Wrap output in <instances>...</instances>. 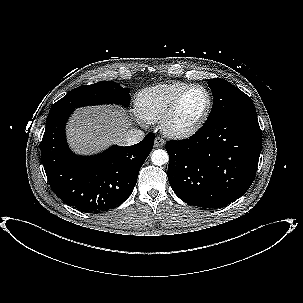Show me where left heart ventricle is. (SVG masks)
<instances>
[{"mask_svg": "<svg viewBox=\"0 0 303 303\" xmlns=\"http://www.w3.org/2000/svg\"><path fill=\"white\" fill-rule=\"evenodd\" d=\"M207 103L206 94L200 88L191 90L185 97L176 118L178 125L186 126L194 122L204 111Z\"/></svg>", "mask_w": 303, "mask_h": 303, "instance_id": "obj_1", "label": "left heart ventricle"}]
</instances>
